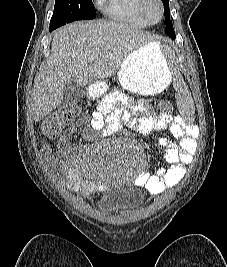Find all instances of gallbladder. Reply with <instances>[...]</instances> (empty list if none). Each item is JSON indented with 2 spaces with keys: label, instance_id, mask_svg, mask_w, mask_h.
Listing matches in <instances>:
<instances>
[{
  "label": "gallbladder",
  "instance_id": "gallbladder-1",
  "mask_svg": "<svg viewBox=\"0 0 227 267\" xmlns=\"http://www.w3.org/2000/svg\"><path fill=\"white\" fill-rule=\"evenodd\" d=\"M85 95L83 86L76 83L67 84L63 90L61 108L71 109L76 106Z\"/></svg>",
  "mask_w": 227,
  "mask_h": 267
}]
</instances>
